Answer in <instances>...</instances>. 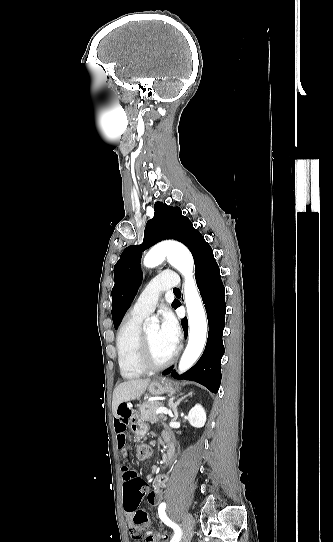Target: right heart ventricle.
Returning a JSON list of instances; mask_svg holds the SVG:
<instances>
[{
    "label": "right heart ventricle",
    "instance_id": "1",
    "mask_svg": "<svg viewBox=\"0 0 333 542\" xmlns=\"http://www.w3.org/2000/svg\"><path fill=\"white\" fill-rule=\"evenodd\" d=\"M143 318L133 316L130 313L129 319L121 325L117 333L116 349L119 370L125 379H138L144 374L136 362V349L141 335Z\"/></svg>",
    "mask_w": 333,
    "mask_h": 542
}]
</instances>
